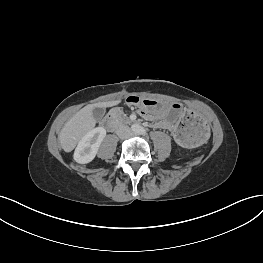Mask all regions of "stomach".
Masks as SVG:
<instances>
[{
  "label": "stomach",
  "instance_id": "obj_1",
  "mask_svg": "<svg viewBox=\"0 0 263 263\" xmlns=\"http://www.w3.org/2000/svg\"><path fill=\"white\" fill-rule=\"evenodd\" d=\"M127 104L159 113L160 122L177 134V140L184 147L192 148L206 140L207 132L202 118L183 103L162 104L155 99L131 96Z\"/></svg>",
  "mask_w": 263,
  "mask_h": 263
}]
</instances>
